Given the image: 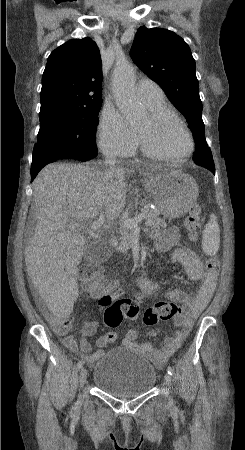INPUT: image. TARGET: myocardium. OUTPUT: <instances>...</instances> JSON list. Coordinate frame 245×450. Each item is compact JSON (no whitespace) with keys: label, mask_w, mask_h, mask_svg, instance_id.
Returning a JSON list of instances; mask_svg holds the SVG:
<instances>
[{"label":"myocardium","mask_w":245,"mask_h":450,"mask_svg":"<svg viewBox=\"0 0 245 450\" xmlns=\"http://www.w3.org/2000/svg\"><path fill=\"white\" fill-rule=\"evenodd\" d=\"M150 118H151L152 122L155 124H159L166 119H170V120L174 121L175 123H177L182 128L184 133L186 134V136L189 140L190 147L186 153L181 154V155H177V156L163 155V154L151 149L150 146L147 144V142L142 137V135L138 132V139H139V143H140V146H141L144 156H146L147 158H149L151 160H155V161H174V160H183V159L189 158L190 156L193 155V153L195 151V146H196L195 140L192 136L191 131L187 127V125L181 120V118L175 112H173L169 109L153 110L150 113Z\"/></svg>","instance_id":"1"}]
</instances>
